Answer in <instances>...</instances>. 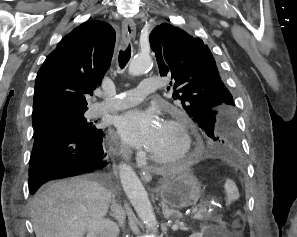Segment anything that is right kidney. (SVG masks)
<instances>
[{"label":"right kidney","mask_w":297,"mask_h":237,"mask_svg":"<svg viewBox=\"0 0 297 237\" xmlns=\"http://www.w3.org/2000/svg\"><path fill=\"white\" fill-rule=\"evenodd\" d=\"M86 237H117L119 234L118 226L109 219H98L88 226Z\"/></svg>","instance_id":"ca27d5eb"}]
</instances>
